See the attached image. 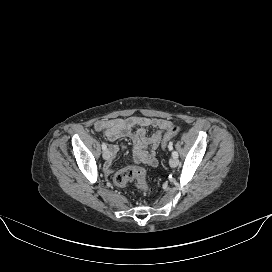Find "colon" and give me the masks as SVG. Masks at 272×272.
<instances>
[{
    "label": "colon",
    "mask_w": 272,
    "mask_h": 272,
    "mask_svg": "<svg viewBox=\"0 0 272 272\" xmlns=\"http://www.w3.org/2000/svg\"><path fill=\"white\" fill-rule=\"evenodd\" d=\"M180 128L177 125H173L168 130L161 142L162 149L169 147L172 139L178 134ZM114 184L118 187H126L130 182L135 181L139 189L148 191L149 187L146 181V171L144 168L137 165H130L119 170L114 176Z\"/></svg>",
    "instance_id": "5ec220e1"
}]
</instances>
